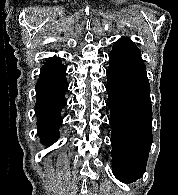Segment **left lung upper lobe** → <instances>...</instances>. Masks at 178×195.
<instances>
[{"mask_svg":"<svg viewBox=\"0 0 178 195\" xmlns=\"http://www.w3.org/2000/svg\"><path fill=\"white\" fill-rule=\"evenodd\" d=\"M112 51L141 58L140 50L128 38H122L115 42Z\"/></svg>","mask_w":178,"mask_h":195,"instance_id":"left-lung-upper-lobe-1","label":"left lung upper lobe"}]
</instances>
